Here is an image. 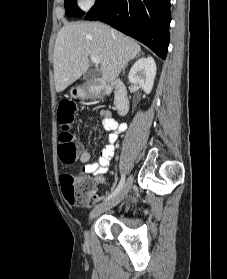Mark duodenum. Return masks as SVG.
<instances>
[{
  "label": "duodenum",
  "mask_w": 227,
  "mask_h": 279,
  "mask_svg": "<svg viewBox=\"0 0 227 279\" xmlns=\"http://www.w3.org/2000/svg\"><path fill=\"white\" fill-rule=\"evenodd\" d=\"M113 92L115 105L120 114L124 115L129 110L128 91L124 83L116 81L110 84L105 83L102 79H96L91 89L84 93L86 100H94L105 97Z\"/></svg>",
  "instance_id": "1"
}]
</instances>
